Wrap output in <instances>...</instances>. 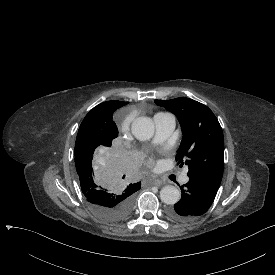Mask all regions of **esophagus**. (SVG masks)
Returning a JSON list of instances; mask_svg holds the SVG:
<instances>
[{"label": "esophagus", "instance_id": "obj_1", "mask_svg": "<svg viewBox=\"0 0 275 275\" xmlns=\"http://www.w3.org/2000/svg\"><path fill=\"white\" fill-rule=\"evenodd\" d=\"M152 184H153L154 186H156V187H160V186H162L163 182H162V180H160V179H155V180L152 182Z\"/></svg>", "mask_w": 275, "mask_h": 275}]
</instances>
